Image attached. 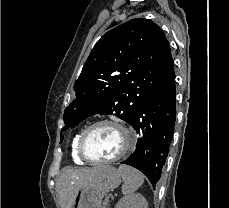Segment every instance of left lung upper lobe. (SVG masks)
Listing matches in <instances>:
<instances>
[{"label":"left lung upper lobe","mask_w":229,"mask_h":208,"mask_svg":"<svg viewBox=\"0 0 229 208\" xmlns=\"http://www.w3.org/2000/svg\"><path fill=\"white\" fill-rule=\"evenodd\" d=\"M174 79L162 29L144 18L127 21L105 33L92 49L74 84L76 99L64 111L62 130L93 114H114L130 124L147 98Z\"/></svg>","instance_id":"1"}]
</instances>
